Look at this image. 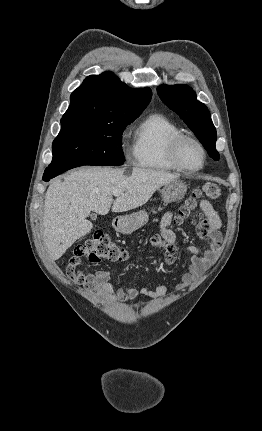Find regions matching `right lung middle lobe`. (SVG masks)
<instances>
[{"instance_id": "right-lung-middle-lobe-1", "label": "right lung middle lobe", "mask_w": 262, "mask_h": 431, "mask_svg": "<svg viewBox=\"0 0 262 431\" xmlns=\"http://www.w3.org/2000/svg\"><path fill=\"white\" fill-rule=\"evenodd\" d=\"M135 118L62 124L58 136L53 141V159L49 167L122 165L125 158L121 136L125 127Z\"/></svg>"}]
</instances>
